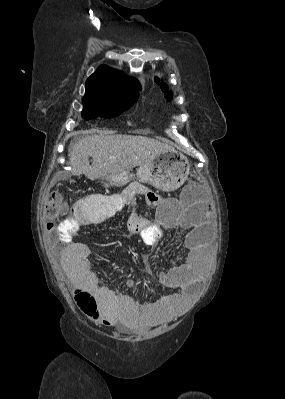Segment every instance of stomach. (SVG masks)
Listing matches in <instances>:
<instances>
[{
  "label": "stomach",
  "instance_id": "0dacf381",
  "mask_svg": "<svg viewBox=\"0 0 285 399\" xmlns=\"http://www.w3.org/2000/svg\"><path fill=\"white\" fill-rule=\"evenodd\" d=\"M190 165L181 152L171 149L159 152L152 160L139 166L137 178L142 183H148L163 191H173L179 188L187 179ZM104 186L120 187L127 184L129 174L121 177H105Z\"/></svg>",
  "mask_w": 285,
  "mask_h": 399
}]
</instances>
